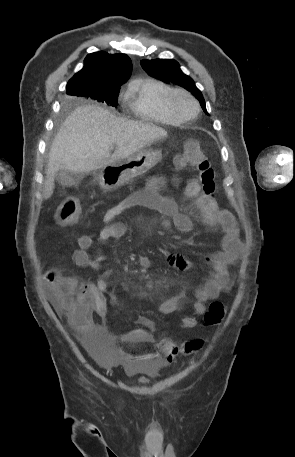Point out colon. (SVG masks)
Segmentation results:
<instances>
[{
	"instance_id": "obj_1",
	"label": "colon",
	"mask_w": 295,
	"mask_h": 457,
	"mask_svg": "<svg viewBox=\"0 0 295 457\" xmlns=\"http://www.w3.org/2000/svg\"><path fill=\"white\" fill-rule=\"evenodd\" d=\"M175 165L179 169H195L199 174L203 194L214 198L215 174L198 140L189 139L185 142L183 151L175 159ZM80 214L81 207L78 201L75 198H68L58 207L56 219L59 224L68 226L75 223ZM52 272L56 283V298L62 309L73 319L83 317L87 313L89 303L86 286L57 271ZM224 316V305L215 301L210 304L204 320L207 325L214 326L220 324ZM151 339V330H128V333H122V341L116 347V354L124 362L148 363L161 359L166 363H173L181 360L182 355H192L202 346L201 340L192 339L178 341L177 344L166 342L159 348L157 341Z\"/></svg>"
}]
</instances>
